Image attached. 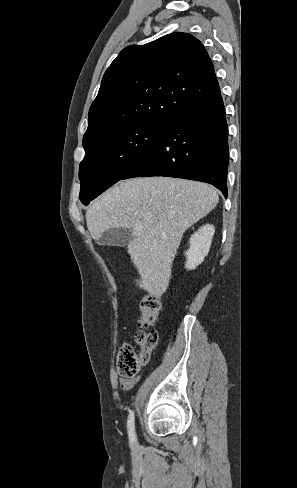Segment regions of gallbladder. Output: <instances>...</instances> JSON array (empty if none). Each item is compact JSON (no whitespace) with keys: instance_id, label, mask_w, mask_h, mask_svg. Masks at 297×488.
Wrapping results in <instances>:
<instances>
[{"instance_id":"gallbladder-1","label":"gallbladder","mask_w":297,"mask_h":488,"mask_svg":"<svg viewBox=\"0 0 297 488\" xmlns=\"http://www.w3.org/2000/svg\"><path fill=\"white\" fill-rule=\"evenodd\" d=\"M133 238V232L129 228H111L102 233L98 240L100 245L122 246Z\"/></svg>"}]
</instances>
